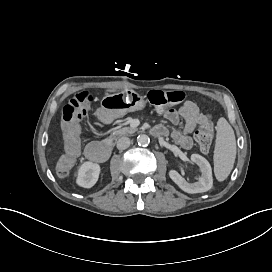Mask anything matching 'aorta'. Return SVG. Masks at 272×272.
<instances>
[{"label": "aorta", "mask_w": 272, "mask_h": 272, "mask_svg": "<svg viewBox=\"0 0 272 272\" xmlns=\"http://www.w3.org/2000/svg\"><path fill=\"white\" fill-rule=\"evenodd\" d=\"M137 142L139 145L146 146L149 144L150 139L146 134H141L137 137Z\"/></svg>", "instance_id": "762f6f07"}]
</instances>
